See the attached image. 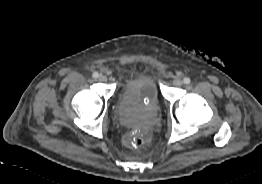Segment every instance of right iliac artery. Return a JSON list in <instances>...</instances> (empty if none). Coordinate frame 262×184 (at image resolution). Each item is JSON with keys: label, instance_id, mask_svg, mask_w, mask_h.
Returning <instances> with one entry per match:
<instances>
[{"label": "right iliac artery", "instance_id": "82829eb1", "mask_svg": "<svg viewBox=\"0 0 262 184\" xmlns=\"http://www.w3.org/2000/svg\"><path fill=\"white\" fill-rule=\"evenodd\" d=\"M92 76H93V78H98V77H99V74H98V72H94V73L92 74Z\"/></svg>", "mask_w": 262, "mask_h": 184}]
</instances>
